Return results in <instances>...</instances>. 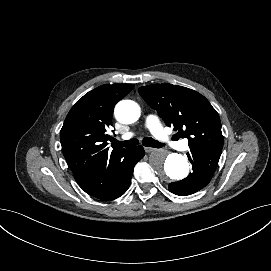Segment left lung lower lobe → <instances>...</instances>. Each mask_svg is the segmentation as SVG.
Here are the masks:
<instances>
[{"label":"left lung lower lobe","mask_w":271,"mask_h":271,"mask_svg":"<svg viewBox=\"0 0 271 271\" xmlns=\"http://www.w3.org/2000/svg\"><path fill=\"white\" fill-rule=\"evenodd\" d=\"M220 155L213 154L207 148L190 150L187 156L193 165V172L184 180L170 183L169 191L179 196H187L204 188L215 173Z\"/></svg>","instance_id":"obj_1"}]
</instances>
